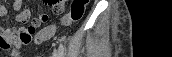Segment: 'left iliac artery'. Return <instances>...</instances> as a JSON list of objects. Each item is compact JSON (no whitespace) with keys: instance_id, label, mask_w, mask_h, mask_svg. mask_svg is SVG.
I'll use <instances>...</instances> for the list:
<instances>
[{"instance_id":"left-iliac-artery-1","label":"left iliac artery","mask_w":172,"mask_h":57,"mask_svg":"<svg viewBox=\"0 0 172 57\" xmlns=\"http://www.w3.org/2000/svg\"><path fill=\"white\" fill-rule=\"evenodd\" d=\"M58 57H65L64 45L62 43L59 45Z\"/></svg>"}]
</instances>
